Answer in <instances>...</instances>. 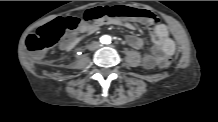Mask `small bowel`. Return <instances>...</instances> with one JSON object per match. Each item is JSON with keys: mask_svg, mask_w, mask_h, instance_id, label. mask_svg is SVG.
Wrapping results in <instances>:
<instances>
[{"mask_svg": "<svg viewBox=\"0 0 218 122\" xmlns=\"http://www.w3.org/2000/svg\"><path fill=\"white\" fill-rule=\"evenodd\" d=\"M105 23L123 26L131 30L136 28V18L128 16L125 18H110ZM100 25V23H85L80 21L78 28L64 37L61 43L62 50L66 52L71 51L79 43L81 34H92L98 31ZM152 37L155 44L153 52L143 57V65L146 68H153L164 55H171L174 51V42L169 37V32L165 25H156L153 29ZM126 42L135 49H139L143 45L142 40L135 35H127Z\"/></svg>", "mask_w": 218, "mask_h": 122, "instance_id": "1", "label": "small bowel"}]
</instances>
